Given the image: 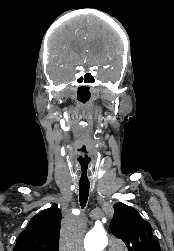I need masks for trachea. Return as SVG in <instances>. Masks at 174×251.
<instances>
[{"label":"trachea","instance_id":"3493384b","mask_svg":"<svg viewBox=\"0 0 174 251\" xmlns=\"http://www.w3.org/2000/svg\"><path fill=\"white\" fill-rule=\"evenodd\" d=\"M89 183H79V201L82 208L86 206L88 196H89Z\"/></svg>","mask_w":174,"mask_h":251}]
</instances>
